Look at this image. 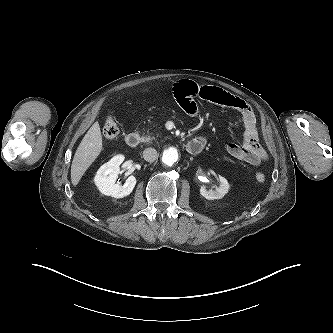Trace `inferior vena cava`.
<instances>
[{
	"label": "inferior vena cava",
	"instance_id": "1",
	"mask_svg": "<svg viewBox=\"0 0 333 333\" xmlns=\"http://www.w3.org/2000/svg\"><path fill=\"white\" fill-rule=\"evenodd\" d=\"M158 157V153L154 148H147L143 151V158L147 162H154Z\"/></svg>",
	"mask_w": 333,
	"mask_h": 333
}]
</instances>
